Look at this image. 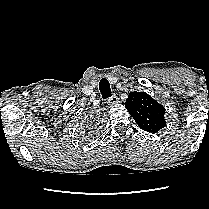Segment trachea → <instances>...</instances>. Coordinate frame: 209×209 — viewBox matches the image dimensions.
I'll list each match as a JSON object with an SVG mask.
<instances>
[{"mask_svg":"<svg viewBox=\"0 0 209 209\" xmlns=\"http://www.w3.org/2000/svg\"><path fill=\"white\" fill-rule=\"evenodd\" d=\"M99 90L101 92L102 98L107 99L112 96L110 84L107 79L103 78L99 82Z\"/></svg>","mask_w":209,"mask_h":209,"instance_id":"obj_1","label":"trachea"}]
</instances>
